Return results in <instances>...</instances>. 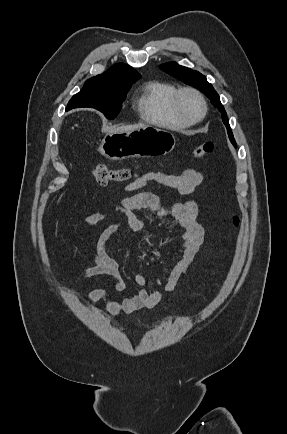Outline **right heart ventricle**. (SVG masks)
I'll use <instances>...</instances> for the list:
<instances>
[{"mask_svg": "<svg viewBox=\"0 0 287 434\" xmlns=\"http://www.w3.org/2000/svg\"><path fill=\"white\" fill-rule=\"evenodd\" d=\"M176 87L165 82L149 81L141 89L138 108L144 120L165 127H186L189 124L178 118L171 100Z\"/></svg>", "mask_w": 287, "mask_h": 434, "instance_id": "1", "label": "right heart ventricle"}]
</instances>
